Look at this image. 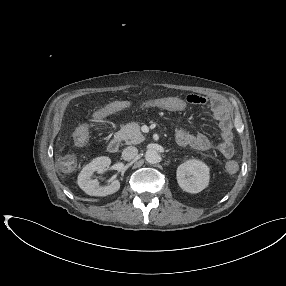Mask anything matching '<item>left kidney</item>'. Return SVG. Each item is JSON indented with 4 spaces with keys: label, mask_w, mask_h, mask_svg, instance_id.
Here are the masks:
<instances>
[{
    "label": "left kidney",
    "mask_w": 286,
    "mask_h": 286,
    "mask_svg": "<svg viewBox=\"0 0 286 286\" xmlns=\"http://www.w3.org/2000/svg\"><path fill=\"white\" fill-rule=\"evenodd\" d=\"M177 182L186 192L199 193L209 184V167L202 161L191 159L177 168Z\"/></svg>",
    "instance_id": "left-kidney-1"
}]
</instances>
